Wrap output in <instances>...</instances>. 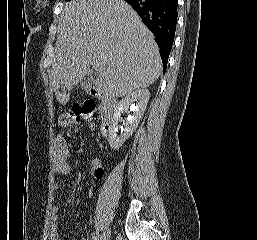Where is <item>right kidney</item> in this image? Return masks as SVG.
I'll list each match as a JSON object with an SVG mask.
<instances>
[{"label":"right kidney","mask_w":257,"mask_h":240,"mask_svg":"<svg viewBox=\"0 0 257 240\" xmlns=\"http://www.w3.org/2000/svg\"><path fill=\"white\" fill-rule=\"evenodd\" d=\"M149 98L150 92L147 89H139L128 94L116 105L108 133L109 144L113 149H119L136 130L144 115ZM129 111L132 112V115H128L124 128L119 130L118 122L122 119L121 115L124 112L129 113Z\"/></svg>","instance_id":"right-kidney-1"}]
</instances>
